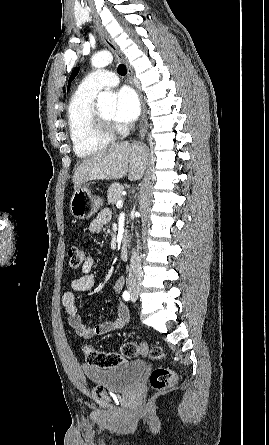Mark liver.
Segmentation results:
<instances>
[{"instance_id": "1", "label": "liver", "mask_w": 269, "mask_h": 445, "mask_svg": "<svg viewBox=\"0 0 269 445\" xmlns=\"http://www.w3.org/2000/svg\"><path fill=\"white\" fill-rule=\"evenodd\" d=\"M148 162L147 147L141 143L122 142L86 158L73 175L74 189L89 180H118L128 176L130 181L142 178Z\"/></svg>"}]
</instances>
